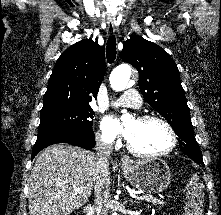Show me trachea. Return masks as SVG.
<instances>
[{
    "label": "trachea",
    "instance_id": "3493384b",
    "mask_svg": "<svg viewBox=\"0 0 221 215\" xmlns=\"http://www.w3.org/2000/svg\"><path fill=\"white\" fill-rule=\"evenodd\" d=\"M116 39L114 35L109 36L106 47V56L108 63H113L116 58Z\"/></svg>",
    "mask_w": 221,
    "mask_h": 215
}]
</instances>
